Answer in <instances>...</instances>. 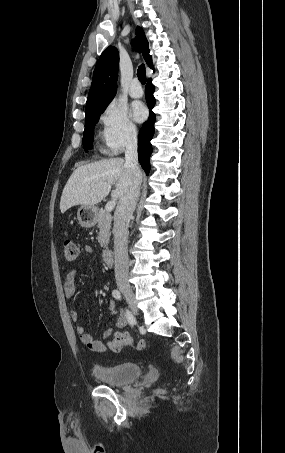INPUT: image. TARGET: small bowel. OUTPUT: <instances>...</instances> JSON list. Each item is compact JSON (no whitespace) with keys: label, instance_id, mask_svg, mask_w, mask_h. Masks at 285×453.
<instances>
[{"label":"small bowel","instance_id":"1","mask_svg":"<svg viewBox=\"0 0 285 453\" xmlns=\"http://www.w3.org/2000/svg\"><path fill=\"white\" fill-rule=\"evenodd\" d=\"M83 251L86 255H92L94 253V249L86 245L83 248ZM76 276L75 270H69L66 274V277L63 282V292L67 298H71L75 294V285L74 280ZM108 308L113 315L117 317L115 327L116 328H123L126 326L128 322V318L126 314L117 308L116 302L111 300L108 304ZM71 319L76 322V332L80 337V341L90 350L93 352H104L106 350V344L102 340H97L93 337L92 334L85 331V327L82 322L79 321V313L76 310H72L70 312ZM113 328L106 329L102 336L103 338H109L113 334Z\"/></svg>","mask_w":285,"mask_h":453}]
</instances>
